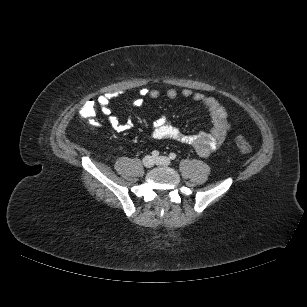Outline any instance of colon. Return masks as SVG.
Returning <instances> with one entry per match:
<instances>
[{
    "instance_id": "obj_1",
    "label": "colon",
    "mask_w": 307,
    "mask_h": 307,
    "mask_svg": "<svg viewBox=\"0 0 307 307\" xmlns=\"http://www.w3.org/2000/svg\"><path fill=\"white\" fill-rule=\"evenodd\" d=\"M96 114L97 103L93 99L86 101L80 109L81 117L87 121H93ZM235 144L238 150L243 154H250L252 152V146L242 135H237L235 137Z\"/></svg>"
}]
</instances>
